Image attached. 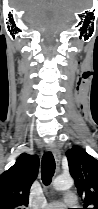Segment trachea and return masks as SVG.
Wrapping results in <instances>:
<instances>
[{"mask_svg":"<svg viewBox=\"0 0 98 209\" xmlns=\"http://www.w3.org/2000/svg\"><path fill=\"white\" fill-rule=\"evenodd\" d=\"M55 173V160L51 152L44 153L41 162V177L44 185H49Z\"/></svg>","mask_w":98,"mask_h":209,"instance_id":"3493384b","label":"trachea"}]
</instances>
